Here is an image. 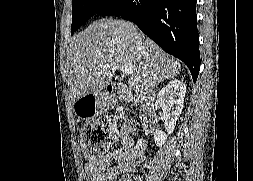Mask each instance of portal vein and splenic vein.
<instances>
[{
    "label": "portal vein and splenic vein",
    "mask_w": 253,
    "mask_h": 181,
    "mask_svg": "<svg viewBox=\"0 0 253 181\" xmlns=\"http://www.w3.org/2000/svg\"><path fill=\"white\" fill-rule=\"evenodd\" d=\"M134 67L131 64H124L120 66V70L125 75L133 74Z\"/></svg>",
    "instance_id": "obj_1"
}]
</instances>
